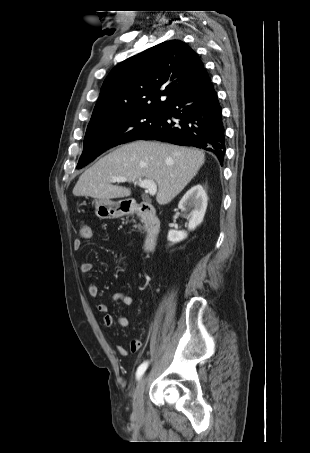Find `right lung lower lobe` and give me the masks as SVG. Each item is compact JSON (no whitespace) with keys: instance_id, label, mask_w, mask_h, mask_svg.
<instances>
[{"instance_id":"right-lung-lower-lobe-1","label":"right lung lower lobe","mask_w":310,"mask_h":453,"mask_svg":"<svg viewBox=\"0 0 310 453\" xmlns=\"http://www.w3.org/2000/svg\"><path fill=\"white\" fill-rule=\"evenodd\" d=\"M139 139L203 148L214 153L222 165L225 154L222 109L206 70L163 108L162 120Z\"/></svg>"}]
</instances>
